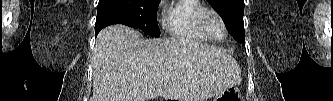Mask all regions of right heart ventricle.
<instances>
[{
    "label": "right heart ventricle",
    "mask_w": 333,
    "mask_h": 101,
    "mask_svg": "<svg viewBox=\"0 0 333 101\" xmlns=\"http://www.w3.org/2000/svg\"><path fill=\"white\" fill-rule=\"evenodd\" d=\"M203 8L198 0H178L167 11L165 27L168 33L180 40L204 43L209 39L196 26V14Z\"/></svg>",
    "instance_id": "e07e8e85"
}]
</instances>
